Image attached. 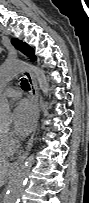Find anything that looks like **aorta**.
<instances>
[{"label": "aorta", "mask_w": 89, "mask_h": 203, "mask_svg": "<svg viewBox=\"0 0 89 203\" xmlns=\"http://www.w3.org/2000/svg\"><path fill=\"white\" fill-rule=\"evenodd\" d=\"M29 71L37 80L40 90L48 95L50 86L45 71L37 66L18 59L6 61L0 68V83L7 84L18 74ZM12 111L7 99L0 100V127L7 130L12 123ZM35 163V155L31 154L11 178L2 203H19L27 183L31 169Z\"/></svg>", "instance_id": "1"}]
</instances>
